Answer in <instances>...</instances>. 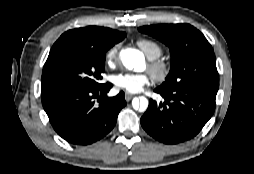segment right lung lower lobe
I'll use <instances>...</instances> for the list:
<instances>
[{
	"instance_id": "obj_1",
	"label": "right lung lower lobe",
	"mask_w": 254,
	"mask_h": 174,
	"mask_svg": "<svg viewBox=\"0 0 254 174\" xmlns=\"http://www.w3.org/2000/svg\"><path fill=\"white\" fill-rule=\"evenodd\" d=\"M112 84L42 96V105L54 130L67 142L88 145L106 136L126 105L124 93L108 97Z\"/></svg>"
}]
</instances>
